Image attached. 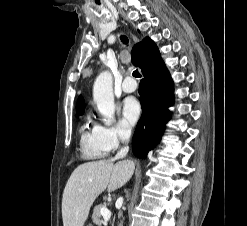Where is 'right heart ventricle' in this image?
<instances>
[{
	"label": "right heart ventricle",
	"mask_w": 247,
	"mask_h": 226,
	"mask_svg": "<svg viewBox=\"0 0 247 226\" xmlns=\"http://www.w3.org/2000/svg\"><path fill=\"white\" fill-rule=\"evenodd\" d=\"M108 149L99 136L98 126L86 120L80 128V152L87 160L100 159L106 156Z\"/></svg>",
	"instance_id": "right-heart-ventricle-1"
}]
</instances>
